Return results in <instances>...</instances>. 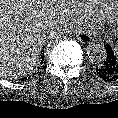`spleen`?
I'll return each instance as SVG.
<instances>
[{"mask_svg":"<svg viewBox=\"0 0 118 118\" xmlns=\"http://www.w3.org/2000/svg\"><path fill=\"white\" fill-rule=\"evenodd\" d=\"M116 55L118 56V46L115 47Z\"/></svg>","mask_w":118,"mask_h":118,"instance_id":"3e777b00","label":"spleen"}]
</instances>
